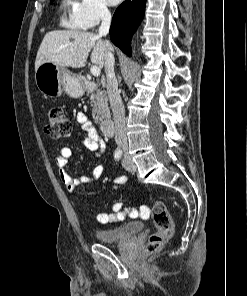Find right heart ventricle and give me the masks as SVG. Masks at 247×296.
<instances>
[{
    "instance_id": "1",
    "label": "right heart ventricle",
    "mask_w": 247,
    "mask_h": 296,
    "mask_svg": "<svg viewBox=\"0 0 247 296\" xmlns=\"http://www.w3.org/2000/svg\"><path fill=\"white\" fill-rule=\"evenodd\" d=\"M77 2L74 0H62L61 2V9L69 14V17L63 16L61 19V22L63 25L74 28V29H80L82 28L73 18V12L74 8L76 6Z\"/></svg>"
}]
</instances>
